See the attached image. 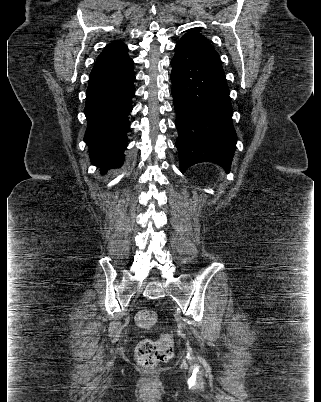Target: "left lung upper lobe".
Returning a JSON list of instances; mask_svg holds the SVG:
<instances>
[{
    "mask_svg": "<svg viewBox=\"0 0 321 402\" xmlns=\"http://www.w3.org/2000/svg\"><path fill=\"white\" fill-rule=\"evenodd\" d=\"M180 41H188V42H196V43H200L202 45H205L207 47L212 48L210 42L207 40L206 37H204L203 35H201L198 31L192 30V31H188L182 38Z\"/></svg>",
    "mask_w": 321,
    "mask_h": 402,
    "instance_id": "obj_1",
    "label": "left lung upper lobe"
}]
</instances>
